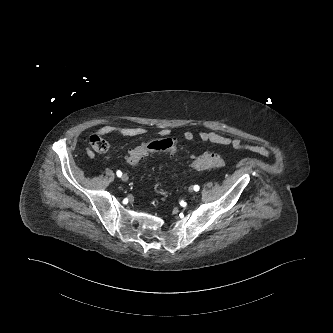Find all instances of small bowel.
Segmentation results:
<instances>
[{
	"label": "small bowel",
	"instance_id": "1",
	"mask_svg": "<svg viewBox=\"0 0 333 333\" xmlns=\"http://www.w3.org/2000/svg\"><path fill=\"white\" fill-rule=\"evenodd\" d=\"M146 131H147L146 128L143 126L121 127L117 125H105L98 130L97 135L108 136V135L118 134L127 137H137L144 135ZM170 134L171 132L169 129L166 128L161 129L159 131V137H160L159 139L171 138ZM182 137L184 140L190 142L198 140L199 142L202 143H214L223 146H232L234 148H245L250 151L257 152L263 155L268 154V150L261 145L245 144L239 138L221 135L215 131H200L197 134H195L191 130H185L182 133ZM87 154L90 157L93 156L90 149H87ZM109 159H110V154L104 156V160H109Z\"/></svg>",
	"mask_w": 333,
	"mask_h": 333
}]
</instances>
